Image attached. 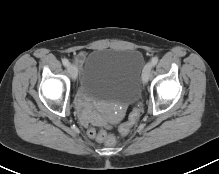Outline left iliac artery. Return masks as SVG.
Returning a JSON list of instances; mask_svg holds the SVG:
<instances>
[{"instance_id": "44dca946", "label": "left iliac artery", "mask_w": 219, "mask_h": 174, "mask_svg": "<svg viewBox=\"0 0 219 174\" xmlns=\"http://www.w3.org/2000/svg\"><path fill=\"white\" fill-rule=\"evenodd\" d=\"M158 60L159 59H158L157 56L153 57L152 60H151L152 65L155 66L158 63Z\"/></svg>"}]
</instances>
